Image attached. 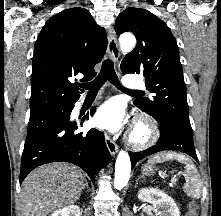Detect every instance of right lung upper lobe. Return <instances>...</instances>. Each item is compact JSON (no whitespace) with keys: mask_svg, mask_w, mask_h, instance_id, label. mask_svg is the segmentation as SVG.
<instances>
[{"mask_svg":"<svg viewBox=\"0 0 221 216\" xmlns=\"http://www.w3.org/2000/svg\"><path fill=\"white\" fill-rule=\"evenodd\" d=\"M106 47L104 29L84 8L66 9L49 19L34 48L30 115L75 103L83 92L75 78L92 79Z\"/></svg>","mask_w":221,"mask_h":216,"instance_id":"right-lung-upper-lobe-1","label":"right lung upper lobe"}]
</instances>
